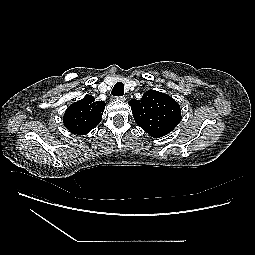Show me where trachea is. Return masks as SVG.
Wrapping results in <instances>:
<instances>
[{
    "label": "trachea",
    "mask_w": 255,
    "mask_h": 255,
    "mask_svg": "<svg viewBox=\"0 0 255 255\" xmlns=\"http://www.w3.org/2000/svg\"><path fill=\"white\" fill-rule=\"evenodd\" d=\"M111 94L113 96H117V97L123 96L124 95V84L122 82H117L114 85Z\"/></svg>",
    "instance_id": "trachea-1"
}]
</instances>
